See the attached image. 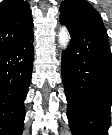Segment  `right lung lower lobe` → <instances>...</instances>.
Segmentation results:
<instances>
[{
	"label": "right lung lower lobe",
	"mask_w": 112,
	"mask_h": 135,
	"mask_svg": "<svg viewBox=\"0 0 112 135\" xmlns=\"http://www.w3.org/2000/svg\"><path fill=\"white\" fill-rule=\"evenodd\" d=\"M33 30L0 51V135H21L24 100L31 81L34 47Z\"/></svg>",
	"instance_id": "98d812e1"
}]
</instances>
